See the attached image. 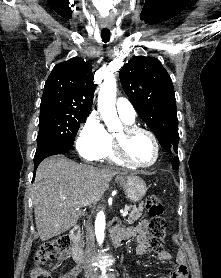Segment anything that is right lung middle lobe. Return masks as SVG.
I'll return each instance as SVG.
<instances>
[{
	"mask_svg": "<svg viewBox=\"0 0 221 278\" xmlns=\"http://www.w3.org/2000/svg\"><path fill=\"white\" fill-rule=\"evenodd\" d=\"M87 115L63 111H40L36 153L58 144H73L80 124Z\"/></svg>",
	"mask_w": 221,
	"mask_h": 278,
	"instance_id": "right-lung-middle-lobe-1",
	"label": "right lung middle lobe"
}]
</instances>
